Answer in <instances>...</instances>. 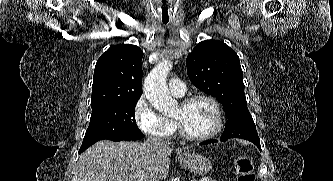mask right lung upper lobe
Wrapping results in <instances>:
<instances>
[{
	"label": "right lung upper lobe",
	"mask_w": 333,
	"mask_h": 181,
	"mask_svg": "<svg viewBox=\"0 0 333 181\" xmlns=\"http://www.w3.org/2000/svg\"><path fill=\"white\" fill-rule=\"evenodd\" d=\"M142 56L135 45H116L102 54L94 70L92 108L141 97Z\"/></svg>",
	"instance_id": "right-lung-upper-lobe-1"
}]
</instances>
